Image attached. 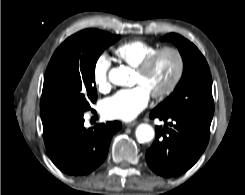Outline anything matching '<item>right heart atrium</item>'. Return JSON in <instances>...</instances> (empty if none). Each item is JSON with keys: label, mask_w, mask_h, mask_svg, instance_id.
<instances>
[{"label": "right heart atrium", "mask_w": 245, "mask_h": 195, "mask_svg": "<svg viewBox=\"0 0 245 195\" xmlns=\"http://www.w3.org/2000/svg\"><path fill=\"white\" fill-rule=\"evenodd\" d=\"M111 67L110 59L101 54L97 57L92 68V79L96 89L105 93L110 90L111 83L109 80V70Z\"/></svg>", "instance_id": "d8ad5b80"}]
</instances>
